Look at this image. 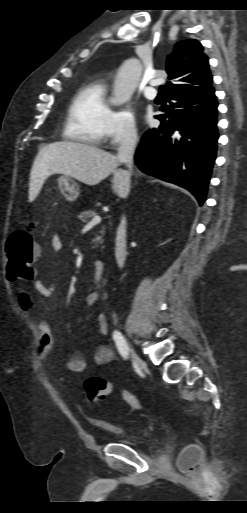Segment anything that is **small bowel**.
Returning a JSON list of instances; mask_svg holds the SVG:
<instances>
[{"mask_svg": "<svg viewBox=\"0 0 247 513\" xmlns=\"http://www.w3.org/2000/svg\"><path fill=\"white\" fill-rule=\"evenodd\" d=\"M62 238L60 235L55 234L51 239V247L53 251L59 252L62 249ZM32 286L35 291L43 297H50L54 294L55 286L53 284H47L42 282L40 279L36 277V273L34 272L32 278ZM100 300V296L96 292H90L85 296L84 302L86 306L92 307L95 306ZM19 302L20 305L26 308H30L32 305V299L29 293L21 288L19 291ZM97 327L98 331L101 335H106L108 331V321L106 315L104 313H100L97 317ZM40 338L38 343V354L39 358L42 361H48L53 353L54 346V336L51 330L49 323L45 320H42L38 324ZM94 362L97 365H106L112 362L113 360V352L110 347L106 345H100L95 353H94ZM65 368L73 373H82L87 368L86 360L78 354L72 355L65 362Z\"/></svg>", "mask_w": 247, "mask_h": 513, "instance_id": "c3829d8e", "label": "small bowel"}]
</instances>
